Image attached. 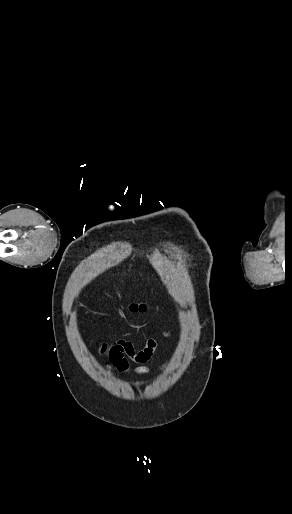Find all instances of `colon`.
I'll use <instances>...</instances> for the list:
<instances>
[{
	"instance_id": "5ec220e1",
	"label": "colon",
	"mask_w": 292,
	"mask_h": 514,
	"mask_svg": "<svg viewBox=\"0 0 292 514\" xmlns=\"http://www.w3.org/2000/svg\"><path fill=\"white\" fill-rule=\"evenodd\" d=\"M130 309L133 311V312H143L146 310V306L144 304H141V303H133L131 306H130Z\"/></svg>"
}]
</instances>
